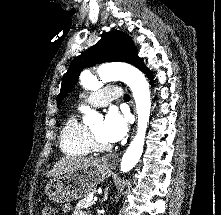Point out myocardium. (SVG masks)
I'll use <instances>...</instances> for the list:
<instances>
[{
	"mask_svg": "<svg viewBox=\"0 0 221 215\" xmlns=\"http://www.w3.org/2000/svg\"><path fill=\"white\" fill-rule=\"evenodd\" d=\"M89 143L91 149L98 152H105L111 148L108 144L100 142L91 129H89Z\"/></svg>",
	"mask_w": 221,
	"mask_h": 215,
	"instance_id": "f54148a6",
	"label": "myocardium"
}]
</instances>
